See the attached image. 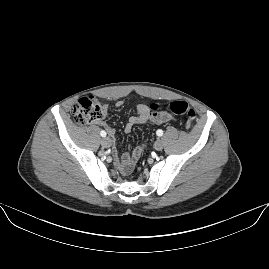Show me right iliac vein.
<instances>
[{
  "label": "right iliac vein",
  "mask_w": 269,
  "mask_h": 269,
  "mask_svg": "<svg viewBox=\"0 0 269 269\" xmlns=\"http://www.w3.org/2000/svg\"><path fill=\"white\" fill-rule=\"evenodd\" d=\"M111 139L109 138V137H104V138H102L101 139V145L103 146V147H106V148H108V147H110L111 146Z\"/></svg>",
  "instance_id": "63e3f726"
}]
</instances>
